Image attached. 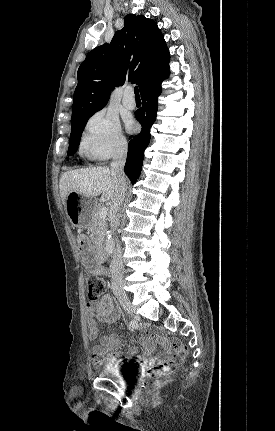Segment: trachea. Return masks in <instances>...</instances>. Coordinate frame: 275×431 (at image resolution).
I'll list each match as a JSON object with an SVG mask.
<instances>
[{
    "label": "trachea",
    "mask_w": 275,
    "mask_h": 431,
    "mask_svg": "<svg viewBox=\"0 0 275 431\" xmlns=\"http://www.w3.org/2000/svg\"><path fill=\"white\" fill-rule=\"evenodd\" d=\"M134 93H135V96H136V97H140V95H139V90H138V87H137V86H135V87H134Z\"/></svg>",
    "instance_id": "obj_1"
}]
</instances>
